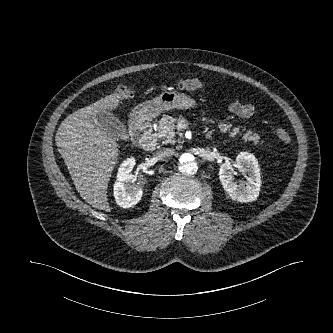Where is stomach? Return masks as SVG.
Returning <instances> with one entry per match:
<instances>
[{"label":"stomach","mask_w":333,"mask_h":333,"mask_svg":"<svg viewBox=\"0 0 333 333\" xmlns=\"http://www.w3.org/2000/svg\"><path fill=\"white\" fill-rule=\"evenodd\" d=\"M196 101L189 95L175 91L162 92L158 97L136 106L130 113V122L144 124L171 109H187Z\"/></svg>","instance_id":"1"}]
</instances>
